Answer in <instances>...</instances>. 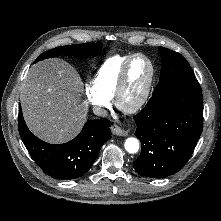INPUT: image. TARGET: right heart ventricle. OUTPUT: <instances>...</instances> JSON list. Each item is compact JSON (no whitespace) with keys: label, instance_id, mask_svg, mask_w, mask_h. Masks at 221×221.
Masks as SVG:
<instances>
[{"label":"right heart ventricle","instance_id":"e07e8e85","mask_svg":"<svg viewBox=\"0 0 221 221\" xmlns=\"http://www.w3.org/2000/svg\"><path fill=\"white\" fill-rule=\"evenodd\" d=\"M133 54L114 55L107 58L97 70L93 79L95 88L109 99L114 98L119 76L125 62Z\"/></svg>","mask_w":221,"mask_h":221}]
</instances>
